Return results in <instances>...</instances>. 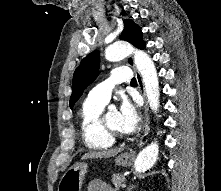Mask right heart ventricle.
I'll list each match as a JSON object with an SVG mask.
<instances>
[{
  "mask_svg": "<svg viewBox=\"0 0 221 191\" xmlns=\"http://www.w3.org/2000/svg\"><path fill=\"white\" fill-rule=\"evenodd\" d=\"M106 103L84 100L80 110L82 138L88 148L104 150L114 144V139L107 131L101 118Z\"/></svg>",
  "mask_w": 221,
  "mask_h": 191,
  "instance_id": "right-heart-ventricle-1",
  "label": "right heart ventricle"
}]
</instances>
